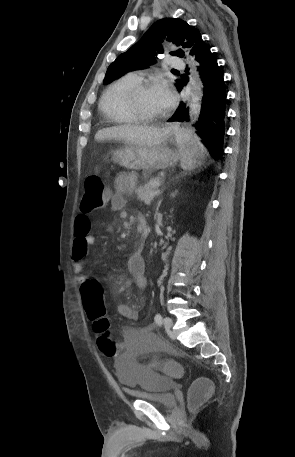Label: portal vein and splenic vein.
Masks as SVG:
<instances>
[{"label": "portal vein and splenic vein", "instance_id": "18ae733b", "mask_svg": "<svg viewBox=\"0 0 295 457\" xmlns=\"http://www.w3.org/2000/svg\"><path fill=\"white\" fill-rule=\"evenodd\" d=\"M153 186H154V187H159V186H160V182L155 181V182L153 183Z\"/></svg>", "mask_w": 295, "mask_h": 457}]
</instances>
